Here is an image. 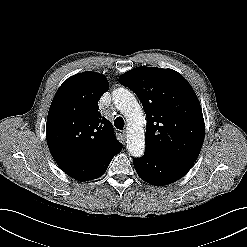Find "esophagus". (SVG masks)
<instances>
[{"label": "esophagus", "mask_w": 247, "mask_h": 247, "mask_svg": "<svg viewBox=\"0 0 247 247\" xmlns=\"http://www.w3.org/2000/svg\"><path fill=\"white\" fill-rule=\"evenodd\" d=\"M119 135L121 137V140L125 141V139H126V131L125 130L119 131Z\"/></svg>", "instance_id": "esophagus-1"}]
</instances>
